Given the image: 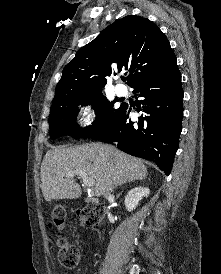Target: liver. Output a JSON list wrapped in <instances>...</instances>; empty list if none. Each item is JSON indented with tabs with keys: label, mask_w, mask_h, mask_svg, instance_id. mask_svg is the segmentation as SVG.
Listing matches in <instances>:
<instances>
[{
	"label": "liver",
	"mask_w": 221,
	"mask_h": 274,
	"mask_svg": "<svg viewBox=\"0 0 221 274\" xmlns=\"http://www.w3.org/2000/svg\"><path fill=\"white\" fill-rule=\"evenodd\" d=\"M85 172L95 181V195L126 182L142 180L147 176L146 166L117 148L90 143L68 148L49 150L41 164L42 193L46 201L76 199L82 194L81 187L73 177L66 174Z\"/></svg>",
	"instance_id": "1"
}]
</instances>
